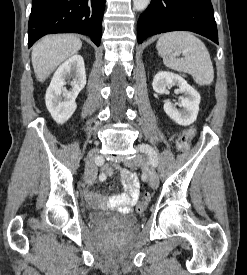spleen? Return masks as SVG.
Returning <instances> with one entry per match:
<instances>
[{"label":"spleen","mask_w":247,"mask_h":275,"mask_svg":"<svg viewBox=\"0 0 247 275\" xmlns=\"http://www.w3.org/2000/svg\"><path fill=\"white\" fill-rule=\"evenodd\" d=\"M157 50L163 63L176 71L189 73L200 85H209L214 79V70L205 44L187 31L163 34L157 42ZM182 54L184 59L176 58Z\"/></svg>","instance_id":"spleen-1"}]
</instances>
